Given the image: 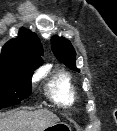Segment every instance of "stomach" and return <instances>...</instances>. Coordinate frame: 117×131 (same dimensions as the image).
I'll return each instance as SVG.
<instances>
[{
    "label": "stomach",
    "mask_w": 117,
    "mask_h": 131,
    "mask_svg": "<svg viewBox=\"0 0 117 131\" xmlns=\"http://www.w3.org/2000/svg\"><path fill=\"white\" fill-rule=\"evenodd\" d=\"M44 130L46 131H71V126L64 122H56L46 127Z\"/></svg>",
    "instance_id": "1"
}]
</instances>
